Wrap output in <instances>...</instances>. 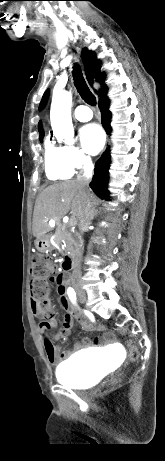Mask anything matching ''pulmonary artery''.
Segmentation results:
<instances>
[{
    "mask_svg": "<svg viewBox=\"0 0 165 461\" xmlns=\"http://www.w3.org/2000/svg\"><path fill=\"white\" fill-rule=\"evenodd\" d=\"M93 114L89 107L81 105L75 109V117L82 122L89 121Z\"/></svg>",
    "mask_w": 165,
    "mask_h": 461,
    "instance_id": "obj_1",
    "label": "pulmonary artery"
}]
</instances>
